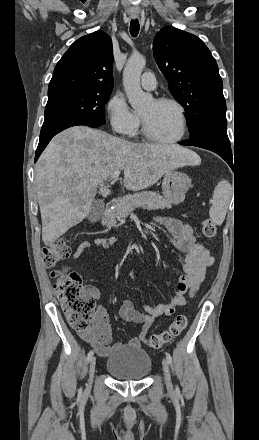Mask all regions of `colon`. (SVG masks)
<instances>
[{
	"label": "colon",
	"instance_id": "1",
	"mask_svg": "<svg viewBox=\"0 0 259 440\" xmlns=\"http://www.w3.org/2000/svg\"><path fill=\"white\" fill-rule=\"evenodd\" d=\"M203 235L211 239L216 235V226L210 219L202 223ZM71 254L68 243L59 239L43 249L44 263L52 270L51 275L55 278L54 290L61 303L69 324L77 329L89 328L94 319L95 301L91 289L83 286L80 275L68 271L65 268L57 269L58 264L67 259ZM187 317L183 314L176 316L169 327L159 334H151L144 338L145 343L152 349H159L170 343L187 326Z\"/></svg>",
	"mask_w": 259,
	"mask_h": 440
}]
</instances>
